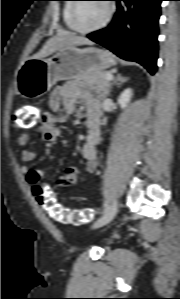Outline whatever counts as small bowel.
<instances>
[{
  "instance_id": "1",
  "label": "small bowel",
  "mask_w": 180,
  "mask_h": 299,
  "mask_svg": "<svg viewBox=\"0 0 180 299\" xmlns=\"http://www.w3.org/2000/svg\"><path fill=\"white\" fill-rule=\"evenodd\" d=\"M83 103L88 108L87 114V134L85 142L81 147V155L86 160V170L94 172L99 165V155L97 145L100 138V108L97 99L83 88L79 82H70L55 89L49 98V106L54 113L47 112L39 125L34 129L42 134L49 142L56 141L61 135V129L56 124V118L64 119L69 114L75 112L77 106ZM31 138V132L26 129L17 139L19 146H26ZM38 156L36 148H28L22 151L24 162H32ZM80 168L71 166L66 168L55 180L58 187H68L78 181ZM26 181L29 184L44 183V172L42 170H31L23 168Z\"/></svg>"
}]
</instances>
